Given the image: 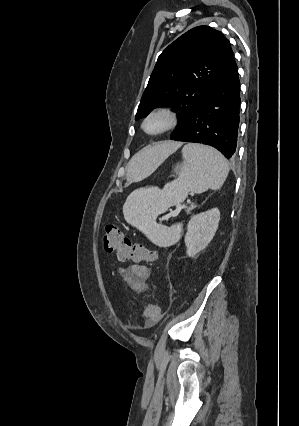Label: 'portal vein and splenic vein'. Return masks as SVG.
Wrapping results in <instances>:
<instances>
[{
  "label": "portal vein and splenic vein",
  "mask_w": 299,
  "mask_h": 426,
  "mask_svg": "<svg viewBox=\"0 0 299 426\" xmlns=\"http://www.w3.org/2000/svg\"><path fill=\"white\" fill-rule=\"evenodd\" d=\"M178 208H181L180 204L177 205Z\"/></svg>",
  "instance_id": "obj_1"
}]
</instances>
